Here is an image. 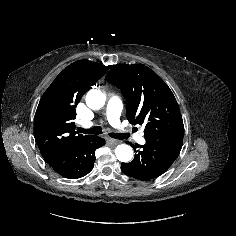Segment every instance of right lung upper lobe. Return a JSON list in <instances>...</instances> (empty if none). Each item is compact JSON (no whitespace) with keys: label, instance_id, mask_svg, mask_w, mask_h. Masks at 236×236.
Here are the masks:
<instances>
[{"label":"right lung upper lobe","instance_id":"1","mask_svg":"<svg viewBox=\"0 0 236 236\" xmlns=\"http://www.w3.org/2000/svg\"><path fill=\"white\" fill-rule=\"evenodd\" d=\"M109 66L79 60L67 66L45 91L34 118V137L42 155L70 149L92 135H77L76 106Z\"/></svg>","mask_w":236,"mask_h":236}]
</instances>
